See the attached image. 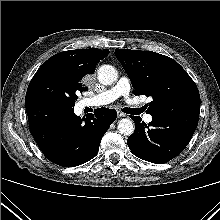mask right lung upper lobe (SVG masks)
I'll return each mask as SVG.
<instances>
[{
    "mask_svg": "<svg viewBox=\"0 0 220 220\" xmlns=\"http://www.w3.org/2000/svg\"><path fill=\"white\" fill-rule=\"evenodd\" d=\"M109 54L108 49H77L60 52L49 58L40 68H59L76 75L93 74L96 64Z\"/></svg>",
    "mask_w": 220,
    "mask_h": 220,
    "instance_id": "obj_1",
    "label": "right lung upper lobe"
}]
</instances>
